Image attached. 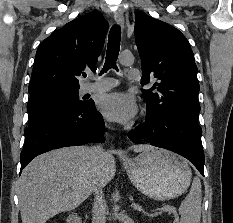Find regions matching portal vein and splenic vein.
I'll return each mask as SVG.
<instances>
[{
	"instance_id": "18ae733b",
	"label": "portal vein and splenic vein",
	"mask_w": 233,
	"mask_h": 223,
	"mask_svg": "<svg viewBox=\"0 0 233 223\" xmlns=\"http://www.w3.org/2000/svg\"><path fill=\"white\" fill-rule=\"evenodd\" d=\"M132 207H134V209H138V211H143V213H147V211H144V209H142L141 205H138V203H132ZM148 215H150V217H156L158 213H148Z\"/></svg>"
}]
</instances>
